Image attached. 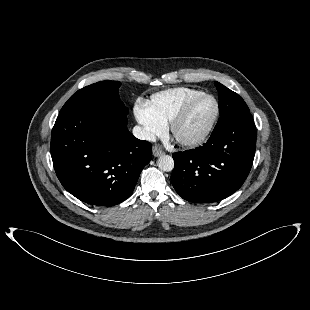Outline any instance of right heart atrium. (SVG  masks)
Instances as JSON below:
<instances>
[{"label": "right heart atrium", "instance_id": "obj_1", "mask_svg": "<svg viewBox=\"0 0 310 310\" xmlns=\"http://www.w3.org/2000/svg\"><path fill=\"white\" fill-rule=\"evenodd\" d=\"M136 120L142 126V132L147 140L162 135L166 130V123L159 119L148 102H139L134 108Z\"/></svg>", "mask_w": 310, "mask_h": 310}]
</instances>
